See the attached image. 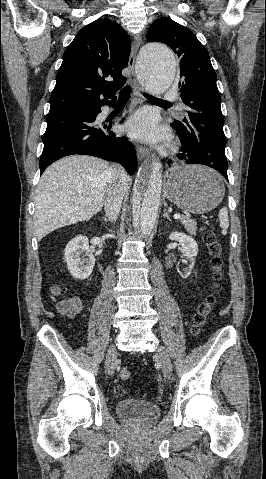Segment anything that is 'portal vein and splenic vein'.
Returning a JSON list of instances; mask_svg holds the SVG:
<instances>
[{
	"label": "portal vein and splenic vein",
	"instance_id": "obj_1",
	"mask_svg": "<svg viewBox=\"0 0 266 479\" xmlns=\"http://www.w3.org/2000/svg\"><path fill=\"white\" fill-rule=\"evenodd\" d=\"M92 200L91 199H88L87 202H91ZM181 218V215L180 214H175L174 215V219H180Z\"/></svg>",
	"mask_w": 266,
	"mask_h": 479
}]
</instances>
